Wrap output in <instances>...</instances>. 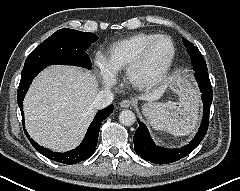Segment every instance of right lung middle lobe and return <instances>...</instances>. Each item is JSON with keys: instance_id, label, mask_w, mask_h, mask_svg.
I'll use <instances>...</instances> for the list:
<instances>
[{"instance_id": "obj_1", "label": "right lung middle lobe", "mask_w": 240, "mask_h": 191, "mask_svg": "<svg viewBox=\"0 0 240 191\" xmlns=\"http://www.w3.org/2000/svg\"><path fill=\"white\" fill-rule=\"evenodd\" d=\"M97 39L98 37L90 32L60 29L31 52L22 71L54 64L90 69L91 61L86 50Z\"/></svg>"}]
</instances>
